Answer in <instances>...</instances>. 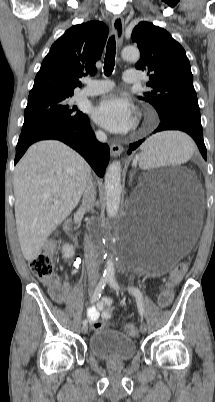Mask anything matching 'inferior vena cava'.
I'll use <instances>...</instances> for the list:
<instances>
[{"label": "inferior vena cava", "instance_id": "inferior-vena-cava-1", "mask_svg": "<svg viewBox=\"0 0 215 402\" xmlns=\"http://www.w3.org/2000/svg\"><path fill=\"white\" fill-rule=\"evenodd\" d=\"M96 136L98 140L101 142H105L107 140L106 134L101 131L97 132ZM95 198H96V190L92 182V178H90L83 193L82 205L80 207V210L83 212L92 210L95 203ZM84 250H85V263L89 281L96 283L100 278L98 254L95 250L93 243L88 238L85 239Z\"/></svg>", "mask_w": 215, "mask_h": 402}]
</instances>
